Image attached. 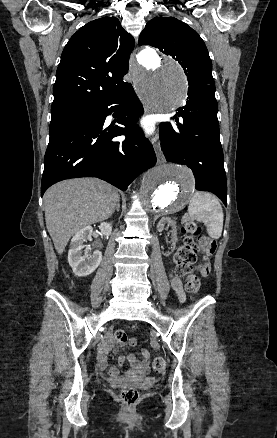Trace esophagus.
Wrapping results in <instances>:
<instances>
[{
  "mask_svg": "<svg viewBox=\"0 0 277 438\" xmlns=\"http://www.w3.org/2000/svg\"><path fill=\"white\" fill-rule=\"evenodd\" d=\"M133 57H134V60L136 59V51H134V53H133ZM157 148H158V145H157ZM161 153H159V155H160ZM162 159H163V157H162Z\"/></svg>",
  "mask_w": 277,
  "mask_h": 438,
  "instance_id": "1",
  "label": "esophagus"
}]
</instances>
